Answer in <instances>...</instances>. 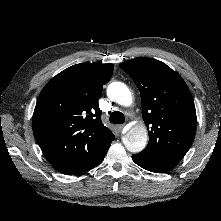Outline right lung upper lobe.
Instances as JSON below:
<instances>
[{
  "label": "right lung upper lobe",
  "instance_id": "cb5924a9",
  "mask_svg": "<svg viewBox=\"0 0 221 221\" xmlns=\"http://www.w3.org/2000/svg\"><path fill=\"white\" fill-rule=\"evenodd\" d=\"M113 64L80 63L52 78L33 114V133L47 160L60 172L86 171L107 153L113 133L101 121L98 100Z\"/></svg>",
  "mask_w": 221,
  "mask_h": 221
}]
</instances>
